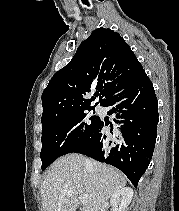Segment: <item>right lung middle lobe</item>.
Wrapping results in <instances>:
<instances>
[{"mask_svg":"<svg viewBox=\"0 0 179 211\" xmlns=\"http://www.w3.org/2000/svg\"><path fill=\"white\" fill-rule=\"evenodd\" d=\"M87 110L56 117L43 126L40 154L42 170L59 156L72 153L92 136L100 119L95 116L88 119Z\"/></svg>","mask_w":179,"mask_h":211,"instance_id":"obj_1","label":"right lung middle lobe"}]
</instances>
